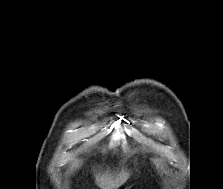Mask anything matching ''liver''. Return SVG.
I'll return each instance as SVG.
<instances>
[{"label":"liver","mask_w":223,"mask_h":189,"mask_svg":"<svg viewBox=\"0 0 223 189\" xmlns=\"http://www.w3.org/2000/svg\"><path fill=\"white\" fill-rule=\"evenodd\" d=\"M130 177L127 170L111 173L109 170L99 172L95 175V182L101 189H117L122 186Z\"/></svg>","instance_id":"liver-1"}]
</instances>
